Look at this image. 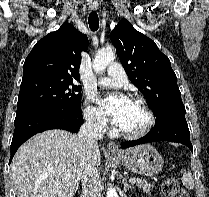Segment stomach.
I'll use <instances>...</instances> for the list:
<instances>
[{
  "mask_svg": "<svg viewBox=\"0 0 209 197\" xmlns=\"http://www.w3.org/2000/svg\"><path fill=\"white\" fill-rule=\"evenodd\" d=\"M122 165L128 170L143 176L158 174L164 165L162 156L149 145H140L116 154Z\"/></svg>",
  "mask_w": 209,
  "mask_h": 197,
  "instance_id": "0dacf381",
  "label": "stomach"
}]
</instances>
